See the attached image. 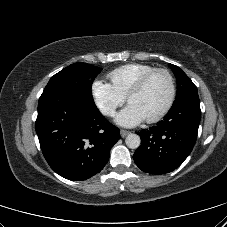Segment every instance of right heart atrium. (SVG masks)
Returning a JSON list of instances; mask_svg holds the SVG:
<instances>
[{
	"instance_id": "right-heart-atrium-1",
	"label": "right heart atrium",
	"mask_w": 227,
	"mask_h": 227,
	"mask_svg": "<svg viewBox=\"0 0 227 227\" xmlns=\"http://www.w3.org/2000/svg\"><path fill=\"white\" fill-rule=\"evenodd\" d=\"M91 93L96 106L106 116H112L125 100L110 83L100 79L92 83Z\"/></svg>"
}]
</instances>
